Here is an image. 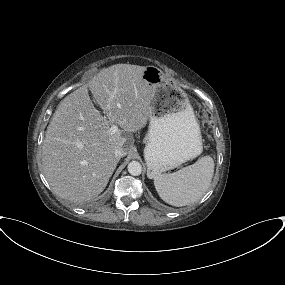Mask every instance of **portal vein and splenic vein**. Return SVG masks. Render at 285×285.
Masks as SVG:
<instances>
[{"label": "portal vein and splenic vein", "instance_id": "portal-vein-and-splenic-vein-1", "mask_svg": "<svg viewBox=\"0 0 285 285\" xmlns=\"http://www.w3.org/2000/svg\"><path fill=\"white\" fill-rule=\"evenodd\" d=\"M108 107H109V105H108ZM117 131H118V126H117V124L112 125L111 128H110V132H111V133H115V132H117Z\"/></svg>", "mask_w": 285, "mask_h": 285}]
</instances>
